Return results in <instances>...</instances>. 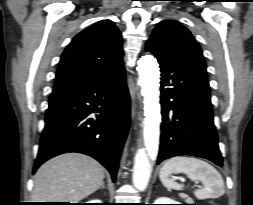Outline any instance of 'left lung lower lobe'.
Segmentation results:
<instances>
[{
  "label": "left lung lower lobe",
  "instance_id": "0a47b994",
  "mask_svg": "<svg viewBox=\"0 0 253 205\" xmlns=\"http://www.w3.org/2000/svg\"><path fill=\"white\" fill-rule=\"evenodd\" d=\"M146 50L154 54L161 70L162 123L157 163L192 155L222 166L207 76L192 63L153 43H147Z\"/></svg>",
  "mask_w": 253,
  "mask_h": 205
}]
</instances>
